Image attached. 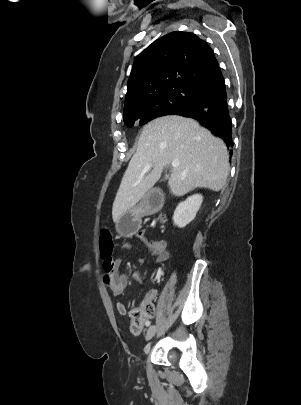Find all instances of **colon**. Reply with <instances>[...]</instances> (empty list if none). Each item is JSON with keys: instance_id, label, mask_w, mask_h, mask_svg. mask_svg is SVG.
Masks as SVG:
<instances>
[{"instance_id": "1", "label": "colon", "mask_w": 301, "mask_h": 405, "mask_svg": "<svg viewBox=\"0 0 301 405\" xmlns=\"http://www.w3.org/2000/svg\"><path fill=\"white\" fill-rule=\"evenodd\" d=\"M161 221H164V217H160ZM99 247H100V254L101 258L104 261L105 266H111L113 257V240H112V235L111 232L107 229L104 228L100 232L99 236ZM153 314V308L149 305L146 306V308H133L130 311V317H131V330L134 333H138L141 330V326L143 321L145 320L146 317L151 316Z\"/></svg>"}]
</instances>
